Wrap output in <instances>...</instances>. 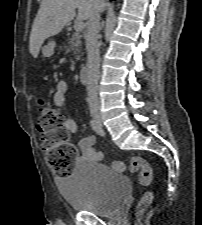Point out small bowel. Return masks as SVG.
I'll list each match as a JSON object with an SVG mask.
<instances>
[{"label":"small bowel","instance_id":"obj_1","mask_svg":"<svg viewBox=\"0 0 202 225\" xmlns=\"http://www.w3.org/2000/svg\"><path fill=\"white\" fill-rule=\"evenodd\" d=\"M68 89L67 82L64 79L58 80L53 97V105L56 108L62 107L65 101V93ZM63 126L69 133H75L78 130L77 122L68 116L63 118ZM95 137L86 136L80 140L81 157L94 162H99L103 158V153L95 148Z\"/></svg>","mask_w":202,"mask_h":225}]
</instances>
